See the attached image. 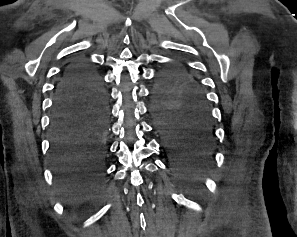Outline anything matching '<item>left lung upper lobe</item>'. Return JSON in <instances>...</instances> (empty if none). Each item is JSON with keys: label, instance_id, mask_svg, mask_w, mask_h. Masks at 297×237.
<instances>
[{"label": "left lung upper lobe", "instance_id": "5c2ea615", "mask_svg": "<svg viewBox=\"0 0 297 237\" xmlns=\"http://www.w3.org/2000/svg\"><path fill=\"white\" fill-rule=\"evenodd\" d=\"M198 101L207 106L206 96L197 80L181 64L165 70L153 88V106H179Z\"/></svg>", "mask_w": 297, "mask_h": 237}]
</instances>
